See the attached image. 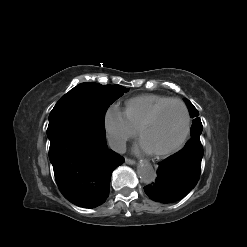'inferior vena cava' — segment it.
<instances>
[{
	"label": "inferior vena cava",
	"mask_w": 247,
	"mask_h": 247,
	"mask_svg": "<svg viewBox=\"0 0 247 247\" xmlns=\"http://www.w3.org/2000/svg\"><path fill=\"white\" fill-rule=\"evenodd\" d=\"M109 147L118 153H125L126 152V143L122 140L115 139V138H110L108 140Z\"/></svg>",
	"instance_id": "obj_1"
}]
</instances>
